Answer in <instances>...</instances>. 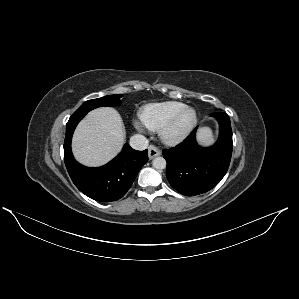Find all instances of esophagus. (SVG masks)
<instances>
[{"instance_id":"1","label":"esophagus","mask_w":299,"mask_h":299,"mask_svg":"<svg viewBox=\"0 0 299 299\" xmlns=\"http://www.w3.org/2000/svg\"><path fill=\"white\" fill-rule=\"evenodd\" d=\"M161 154V151L155 147L154 145H151L148 149V157L149 159H153L154 157Z\"/></svg>"}]
</instances>
